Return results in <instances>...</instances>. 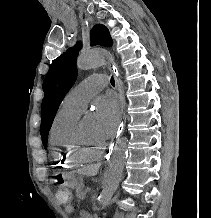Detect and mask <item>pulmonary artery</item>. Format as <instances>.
<instances>
[{
    "label": "pulmonary artery",
    "instance_id": "e3ab8cb5",
    "mask_svg": "<svg viewBox=\"0 0 211 218\" xmlns=\"http://www.w3.org/2000/svg\"><path fill=\"white\" fill-rule=\"evenodd\" d=\"M104 79L103 75H92L83 80V83L75 86L64 98L63 105L82 112L90 98L98 91H104V87L108 86L106 80H90Z\"/></svg>",
    "mask_w": 211,
    "mask_h": 218
}]
</instances>
